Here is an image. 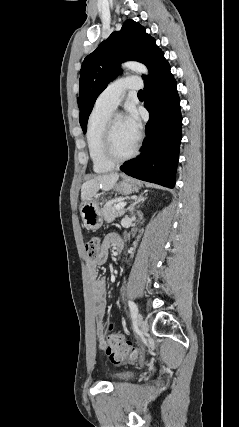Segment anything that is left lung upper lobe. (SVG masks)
<instances>
[{
	"mask_svg": "<svg viewBox=\"0 0 239 427\" xmlns=\"http://www.w3.org/2000/svg\"><path fill=\"white\" fill-rule=\"evenodd\" d=\"M126 60L144 63L149 69L150 78L166 62L164 53L156 45L154 38L133 20H126L120 31L113 32L83 61L80 70L78 106L79 122L84 133L97 97L120 73V64ZM143 79L149 78L143 76Z\"/></svg>",
	"mask_w": 239,
	"mask_h": 427,
	"instance_id": "5c2ea615",
	"label": "left lung upper lobe"
}]
</instances>
